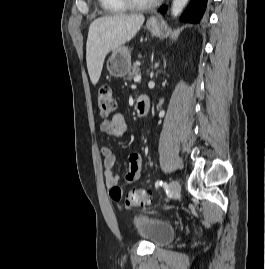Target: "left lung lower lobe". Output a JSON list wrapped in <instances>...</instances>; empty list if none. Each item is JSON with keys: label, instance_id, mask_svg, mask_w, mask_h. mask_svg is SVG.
Segmentation results:
<instances>
[{"label": "left lung lower lobe", "instance_id": "left-lung-lower-lobe-1", "mask_svg": "<svg viewBox=\"0 0 265 269\" xmlns=\"http://www.w3.org/2000/svg\"><path fill=\"white\" fill-rule=\"evenodd\" d=\"M207 1L208 0H191L187 10L181 16V20L184 22L199 23L206 10ZM166 10L167 7L165 6L161 9V12L165 13Z\"/></svg>", "mask_w": 265, "mask_h": 269}]
</instances>
